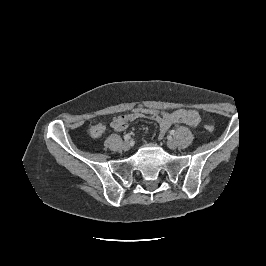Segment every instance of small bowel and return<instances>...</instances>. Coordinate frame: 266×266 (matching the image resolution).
Returning <instances> with one entry per match:
<instances>
[{
	"instance_id": "small-bowel-1",
	"label": "small bowel",
	"mask_w": 266,
	"mask_h": 266,
	"mask_svg": "<svg viewBox=\"0 0 266 266\" xmlns=\"http://www.w3.org/2000/svg\"><path fill=\"white\" fill-rule=\"evenodd\" d=\"M141 117H135L131 113L125 115H119L113 118L111 127L115 131H123L127 128L128 124ZM157 122L160 127V138H163L167 130L174 124H186L191 127H195L200 122V116L197 111L192 109H177L164 116H155L150 118ZM105 125L97 123L91 126L90 135L93 138H99L105 132Z\"/></svg>"
}]
</instances>
